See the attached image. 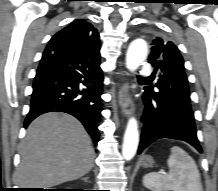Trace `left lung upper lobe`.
I'll return each instance as SVG.
<instances>
[{
  "instance_id": "obj_1",
  "label": "left lung upper lobe",
  "mask_w": 218,
  "mask_h": 191,
  "mask_svg": "<svg viewBox=\"0 0 218 191\" xmlns=\"http://www.w3.org/2000/svg\"><path fill=\"white\" fill-rule=\"evenodd\" d=\"M149 62L160 70L156 89L168 98L179 97L190 103L183 58L177 47L158 36L152 39Z\"/></svg>"
}]
</instances>
